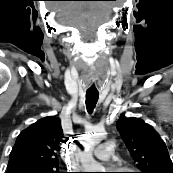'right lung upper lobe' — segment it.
<instances>
[{
	"mask_svg": "<svg viewBox=\"0 0 173 173\" xmlns=\"http://www.w3.org/2000/svg\"><path fill=\"white\" fill-rule=\"evenodd\" d=\"M63 139L59 118L48 116L38 120L17 137L9 156L7 173L58 170L57 153Z\"/></svg>",
	"mask_w": 173,
	"mask_h": 173,
	"instance_id": "cb5924a9",
	"label": "right lung upper lobe"
}]
</instances>
